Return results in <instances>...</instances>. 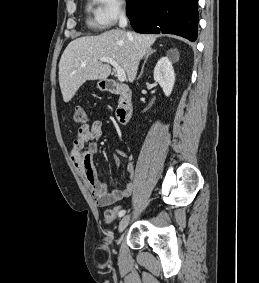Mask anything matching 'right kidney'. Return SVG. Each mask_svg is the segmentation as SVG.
<instances>
[{
  "label": "right kidney",
  "instance_id": "1",
  "mask_svg": "<svg viewBox=\"0 0 259 283\" xmlns=\"http://www.w3.org/2000/svg\"><path fill=\"white\" fill-rule=\"evenodd\" d=\"M154 80L163 89L165 96H170L174 82L175 73L172 66V62L168 57H162L156 64L154 68Z\"/></svg>",
  "mask_w": 259,
  "mask_h": 283
}]
</instances>
